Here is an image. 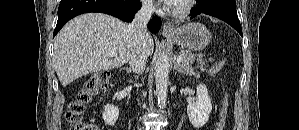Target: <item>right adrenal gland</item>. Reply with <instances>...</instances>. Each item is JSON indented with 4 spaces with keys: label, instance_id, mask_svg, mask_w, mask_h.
<instances>
[{
    "label": "right adrenal gland",
    "instance_id": "1",
    "mask_svg": "<svg viewBox=\"0 0 299 130\" xmlns=\"http://www.w3.org/2000/svg\"><path fill=\"white\" fill-rule=\"evenodd\" d=\"M124 70H126V72L128 73V74H130L131 73V68H124Z\"/></svg>",
    "mask_w": 299,
    "mask_h": 130
}]
</instances>
